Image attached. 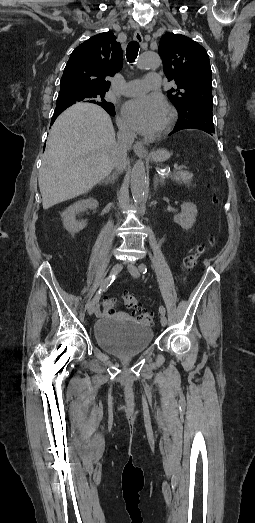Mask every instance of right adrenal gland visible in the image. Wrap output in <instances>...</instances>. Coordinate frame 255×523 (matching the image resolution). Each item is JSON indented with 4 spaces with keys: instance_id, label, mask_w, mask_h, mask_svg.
<instances>
[{
    "instance_id": "obj_1",
    "label": "right adrenal gland",
    "mask_w": 255,
    "mask_h": 523,
    "mask_svg": "<svg viewBox=\"0 0 255 523\" xmlns=\"http://www.w3.org/2000/svg\"><path fill=\"white\" fill-rule=\"evenodd\" d=\"M115 180H116V176L115 174H112V176H107V178H105V180H103L104 184H108V182H110V184H115Z\"/></svg>"
}]
</instances>
